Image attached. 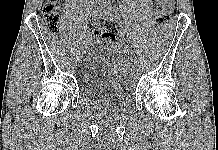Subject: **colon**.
<instances>
[{"instance_id": "colon-1", "label": "colon", "mask_w": 218, "mask_h": 150, "mask_svg": "<svg viewBox=\"0 0 218 150\" xmlns=\"http://www.w3.org/2000/svg\"><path fill=\"white\" fill-rule=\"evenodd\" d=\"M61 10V0H46L43 5V17L50 31L55 32L59 25V16ZM170 10L163 6H157L155 17L158 23L163 24L169 20ZM95 35L106 43H112L115 35L104 28H96Z\"/></svg>"}]
</instances>
